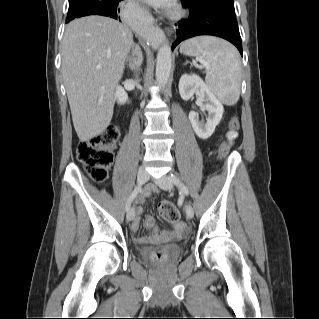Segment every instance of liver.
I'll return each instance as SVG.
<instances>
[{"label":"liver","instance_id":"6515ba94","mask_svg":"<svg viewBox=\"0 0 319 319\" xmlns=\"http://www.w3.org/2000/svg\"><path fill=\"white\" fill-rule=\"evenodd\" d=\"M133 44L131 30L114 19L87 16L71 21L61 47V71L80 141H88L109 126L115 88Z\"/></svg>","mask_w":319,"mask_h":319}]
</instances>
